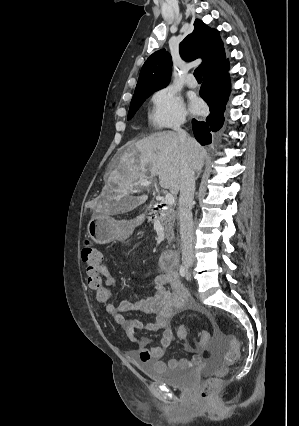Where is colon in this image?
Returning <instances> with one entry per match:
<instances>
[{"mask_svg":"<svg viewBox=\"0 0 299 426\" xmlns=\"http://www.w3.org/2000/svg\"><path fill=\"white\" fill-rule=\"evenodd\" d=\"M82 261L86 266L87 283L94 291L99 302L104 303L109 295V289L104 284L99 267L103 262V254L100 249L90 242H86L81 253ZM189 329L186 325H180L177 329V336L180 340H186ZM219 333V332H218ZM209 334L202 331L199 334L198 346H205L209 342ZM229 349L225 355V362L231 365L236 362L239 356V346L234 336H228ZM226 366L219 367L211 376H209L200 388V398L208 402L218 391L222 378L227 374Z\"/></svg>","mask_w":299,"mask_h":426,"instance_id":"obj_1","label":"colon"}]
</instances>
